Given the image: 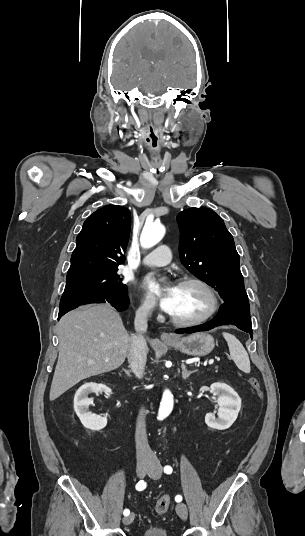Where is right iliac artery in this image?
<instances>
[{"instance_id":"obj_1","label":"right iliac artery","mask_w":305,"mask_h":536,"mask_svg":"<svg viewBox=\"0 0 305 536\" xmlns=\"http://www.w3.org/2000/svg\"><path fill=\"white\" fill-rule=\"evenodd\" d=\"M146 488V482H144L143 480H140L137 484H136V489L138 491H142ZM124 516H128L130 514V511L128 509H125L124 512H123Z\"/></svg>"}]
</instances>
